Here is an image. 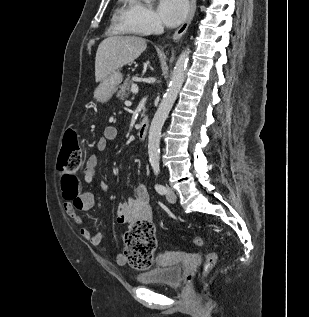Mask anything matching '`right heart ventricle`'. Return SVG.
Returning a JSON list of instances; mask_svg holds the SVG:
<instances>
[{
	"instance_id": "1",
	"label": "right heart ventricle",
	"mask_w": 309,
	"mask_h": 317,
	"mask_svg": "<svg viewBox=\"0 0 309 317\" xmlns=\"http://www.w3.org/2000/svg\"><path fill=\"white\" fill-rule=\"evenodd\" d=\"M125 2V0H122ZM126 8L121 7L117 13V21L121 24V30L125 33H134L130 28H128L124 23V14H125Z\"/></svg>"
}]
</instances>
